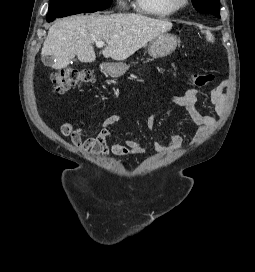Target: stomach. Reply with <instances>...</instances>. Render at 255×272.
Wrapping results in <instances>:
<instances>
[{"instance_id": "stomach-1", "label": "stomach", "mask_w": 255, "mask_h": 272, "mask_svg": "<svg viewBox=\"0 0 255 272\" xmlns=\"http://www.w3.org/2000/svg\"><path fill=\"white\" fill-rule=\"evenodd\" d=\"M177 37L170 33H163L150 41L148 54L152 58H161L172 54L177 47ZM129 69L123 62H113L105 65V71L112 77H120Z\"/></svg>"}]
</instances>
